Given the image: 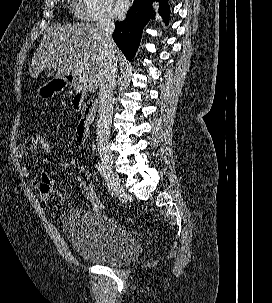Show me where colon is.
<instances>
[{"mask_svg":"<svg viewBox=\"0 0 272 303\" xmlns=\"http://www.w3.org/2000/svg\"><path fill=\"white\" fill-rule=\"evenodd\" d=\"M34 149L41 154H48L52 150L50 139L44 134L34 136ZM78 179L85 194V197L97 208L104 209V205L95 195L91 181V175L88 168L80 166L78 168ZM44 202L51 209H61L64 205V199L60 192L54 190L44 196Z\"/></svg>","mask_w":272,"mask_h":303,"instance_id":"5ec220e1","label":"colon"}]
</instances>
